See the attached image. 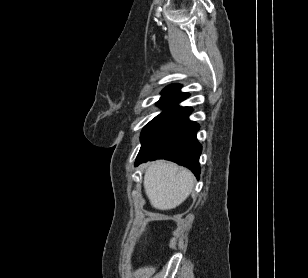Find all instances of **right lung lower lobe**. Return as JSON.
<instances>
[{"label": "right lung lower lobe", "mask_w": 308, "mask_h": 278, "mask_svg": "<svg viewBox=\"0 0 308 278\" xmlns=\"http://www.w3.org/2000/svg\"><path fill=\"white\" fill-rule=\"evenodd\" d=\"M191 112L192 110L176 118L161 132L142 144L135 165L164 158L189 168L199 178V156L202 147L196 138L199 125L188 119Z\"/></svg>", "instance_id": "1"}]
</instances>
